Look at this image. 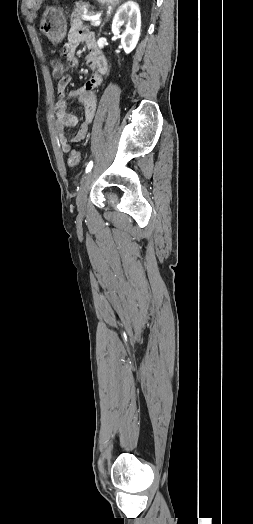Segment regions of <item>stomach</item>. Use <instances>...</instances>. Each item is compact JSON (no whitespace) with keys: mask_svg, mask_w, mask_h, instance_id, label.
Here are the masks:
<instances>
[{"mask_svg":"<svg viewBox=\"0 0 253 524\" xmlns=\"http://www.w3.org/2000/svg\"><path fill=\"white\" fill-rule=\"evenodd\" d=\"M101 5L114 6L120 0H97ZM41 32L53 43L63 40L67 31V23L64 12L61 8L48 7L43 13L40 23Z\"/></svg>","mask_w":253,"mask_h":524,"instance_id":"1","label":"stomach"}]
</instances>
